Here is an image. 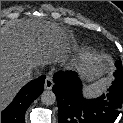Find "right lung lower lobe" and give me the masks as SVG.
I'll list each match as a JSON object with an SVG mask.
<instances>
[{
    "label": "right lung lower lobe",
    "mask_w": 123,
    "mask_h": 123,
    "mask_svg": "<svg viewBox=\"0 0 123 123\" xmlns=\"http://www.w3.org/2000/svg\"><path fill=\"white\" fill-rule=\"evenodd\" d=\"M45 75L29 82L16 95L12 103L1 112V123H25L29 105L43 92Z\"/></svg>",
    "instance_id": "obj_1"
}]
</instances>
